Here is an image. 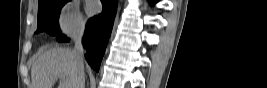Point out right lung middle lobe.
<instances>
[{
    "label": "right lung middle lobe",
    "mask_w": 267,
    "mask_h": 88,
    "mask_svg": "<svg viewBox=\"0 0 267 88\" xmlns=\"http://www.w3.org/2000/svg\"><path fill=\"white\" fill-rule=\"evenodd\" d=\"M69 0H41L38 5L37 32L45 31L51 35L60 34L58 18L60 11Z\"/></svg>",
    "instance_id": "dd1d6c3e"
}]
</instances>
